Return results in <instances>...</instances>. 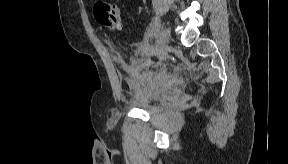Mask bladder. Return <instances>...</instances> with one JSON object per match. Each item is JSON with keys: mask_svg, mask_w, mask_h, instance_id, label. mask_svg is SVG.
<instances>
[{"mask_svg": "<svg viewBox=\"0 0 288 164\" xmlns=\"http://www.w3.org/2000/svg\"><path fill=\"white\" fill-rule=\"evenodd\" d=\"M152 95L150 97H147L145 100H143L140 104L139 107L143 110H146L149 108L151 101H152Z\"/></svg>", "mask_w": 288, "mask_h": 164, "instance_id": "bladder-1", "label": "bladder"}]
</instances>
